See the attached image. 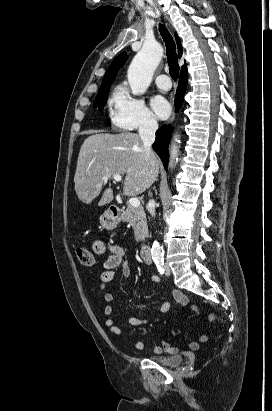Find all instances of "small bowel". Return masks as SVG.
<instances>
[{"label": "small bowel", "mask_w": 272, "mask_h": 411, "mask_svg": "<svg viewBox=\"0 0 272 411\" xmlns=\"http://www.w3.org/2000/svg\"><path fill=\"white\" fill-rule=\"evenodd\" d=\"M94 252L97 254H105L109 253L108 258L104 262V271L101 274V285L100 288L102 291H105L106 287L111 284L115 279V270L118 268L120 270V274L124 278H128L131 274V266L126 257V252L124 248L118 244H110L103 240H96L93 244ZM151 281L154 283H159L160 278L157 276L151 277ZM171 297L179 303L181 306L186 307L189 305L188 298L183 295L178 290H172L170 292ZM104 300L106 305L103 309L104 315V324L109 329V331L115 336H122L123 332L119 326H117L112 318L113 314V303H114V295L111 292H104L103 294ZM171 303L169 301L164 302L159 312L161 314L167 313L170 310ZM191 309L198 315L200 312L196 306H191ZM154 316L146 317V318H138L135 316L128 317V323L132 326H141L151 323L154 320ZM207 340L205 335H202L198 340H194L190 343L189 347L191 350L195 351L198 350L200 345ZM138 350H143L145 348V343L141 340L137 341L135 344ZM154 353L160 354L163 352L169 354H176L178 353V349L173 347L166 341H162L160 345H156L153 348Z\"/></svg>", "instance_id": "obj_1"}]
</instances>
